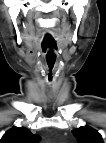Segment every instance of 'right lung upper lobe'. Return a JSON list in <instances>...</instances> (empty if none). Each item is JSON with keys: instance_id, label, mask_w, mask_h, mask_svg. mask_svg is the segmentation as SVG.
Returning a JSON list of instances; mask_svg holds the SVG:
<instances>
[{"instance_id": "cb5924a9", "label": "right lung upper lobe", "mask_w": 106, "mask_h": 143, "mask_svg": "<svg viewBox=\"0 0 106 143\" xmlns=\"http://www.w3.org/2000/svg\"><path fill=\"white\" fill-rule=\"evenodd\" d=\"M40 140L38 135L31 133L25 127H13L1 138V143H37Z\"/></svg>"}]
</instances>
